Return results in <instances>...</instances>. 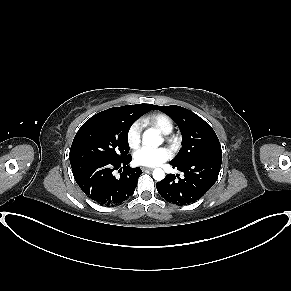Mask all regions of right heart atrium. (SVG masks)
I'll return each instance as SVG.
<instances>
[{
    "instance_id": "d8ad5b80",
    "label": "right heart atrium",
    "mask_w": 291,
    "mask_h": 291,
    "mask_svg": "<svg viewBox=\"0 0 291 291\" xmlns=\"http://www.w3.org/2000/svg\"><path fill=\"white\" fill-rule=\"evenodd\" d=\"M142 123L140 121L133 122L127 130L126 140L131 148L138 146L141 141Z\"/></svg>"
}]
</instances>
